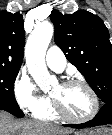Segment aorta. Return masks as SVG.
I'll return each mask as SVG.
<instances>
[{
  "mask_svg": "<svg viewBox=\"0 0 112 135\" xmlns=\"http://www.w3.org/2000/svg\"><path fill=\"white\" fill-rule=\"evenodd\" d=\"M53 32L52 24L42 23L32 31L26 43L25 55L28 71L42 90L49 88L55 80L49 74L45 63V54Z\"/></svg>",
  "mask_w": 112,
  "mask_h": 135,
  "instance_id": "aorta-1",
  "label": "aorta"
}]
</instances>
